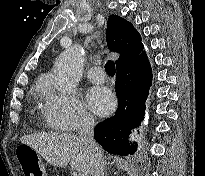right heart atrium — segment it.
<instances>
[{
  "instance_id": "d8ad5b80",
  "label": "right heart atrium",
  "mask_w": 205,
  "mask_h": 176,
  "mask_svg": "<svg viewBox=\"0 0 205 176\" xmlns=\"http://www.w3.org/2000/svg\"><path fill=\"white\" fill-rule=\"evenodd\" d=\"M44 113L56 130L75 131L94 123L92 114L77 95L58 92L50 84L46 89Z\"/></svg>"
}]
</instances>
